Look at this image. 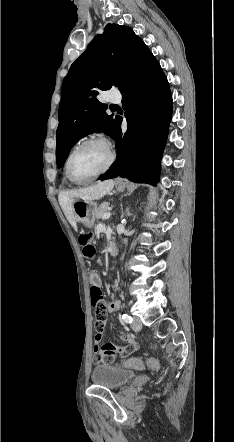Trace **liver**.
I'll return each mask as SVG.
<instances>
[{"label":"liver","mask_w":234,"mask_h":442,"mask_svg":"<svg viewBox=\"0 0 234 442\" xmlns=\"http://www.w3.org/2000/svg\"><path fill=\"white\" fill-rule=\"evenodd\" d=\"M113 180H106L102 182H98L97 184L87 187L81 188L78 190L65 191L59 194V203L60 206L75 231H77L76 219L73 211V203L78 199H82L84 201H93L98 200L109 193L114 187Z\"/></svg>","instance_id":"1"}]
</instances>
